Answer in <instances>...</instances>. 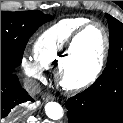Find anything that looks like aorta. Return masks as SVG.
I'll use <instances>...</instances> for the list:
<instances>
[{
    "label": "aorta",
    "instance_id": "1",
    "mask_svg": "<svg viewBox=\"0 0 123 123\" xmlns=\"http://www.w3.org/2000/svg\"><path fill=\"white\" fill-rule=\"evenodd\" d=\"M45 113L52 120H59L63 117V108L57 102H48L45 105Z\"/></svg>",
    "mask_w": 123,
    "mask_h": 123
}]
</instances>
